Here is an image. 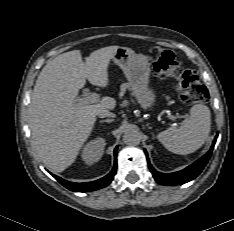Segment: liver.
Returning <instances> with one entry per match:
<instances>
[{"label":"liver","instance_id":"obj_1","mask_svg":"<svg viewBox=\"0 0 234 231\" xmlns=\"http://www.w3.org/2000/svg\"><path fill=\"white\" fill-rule=\"evenodd\" d=\"M119 46L93 51L84 63L80 50L58 55L40 72L29 105L32 146L40 160L54 172H62L76 160L89 138L96 116L113 110L116 101L103 97L99 103H76L86 79L107 87L110 60Z\"/></svg>","mask_w":234,"mask_h":231}]
</instances>
